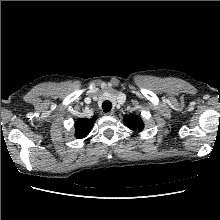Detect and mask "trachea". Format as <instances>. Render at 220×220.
I'll use <instances>...</instances> for the list:
<instances>
[{"label": "trachea", "mask_w": 220, "mask_h": 220, "mask_svg": "<svg viewBox=\"0 0 220 220\" xmlns=\"http://www.w3.org/2000/svg\"><path fill=\"white\" fill-rule=\"evenodd\" d=\"M112 108V103L110 101H104L102 104V109L104 112H109Z\"/></svg>", "instance_id": "1"}]
</instances>
